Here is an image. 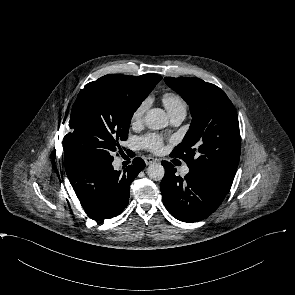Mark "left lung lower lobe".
<instances>
[{
	"label": "left lung lower lobe",
	"instance_id": "0a47b994",
	"mask_svg": "<svg viewBox=\"0 0 295 295\" xmlns=\"http://www.w3.org/2000/svg\"><path fill=\"white\" fill-rule=\"evenodd\" d=\"M165 175L160 184L163 203L169 213L183 222H198L211 215L222 203L227 191L208 177L189 171L181 178L174 166L163 161Z\"/></svg>",
	"mask_w": 295,
	"mask_h": 295
}]
</instances>
